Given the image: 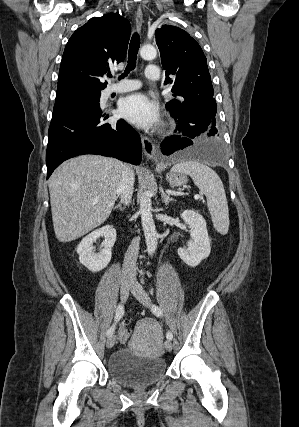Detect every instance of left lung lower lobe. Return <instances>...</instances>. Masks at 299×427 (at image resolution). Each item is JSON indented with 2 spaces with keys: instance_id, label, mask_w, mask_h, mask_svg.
Listing matches in <instances>:
<instances>
[{
  "instance_id": "0a47b994",
  "label": "left lung lower lobe",
  "mask_w": 299,
  "mask_h": 427,
  "mask_svg": "<svg viewBox=\"0 0 299 427\" xmlns=\"http://www.w3.org/2000/svg\"><path fill=\"white\" fill-rule=\"evenodd\" d=\"M171 115L177 121L176 129L184 137L171 136L164 140L161 144L164 155L178 153L183 157L200 158L209 162H225L221 132L214 126L209 106L181 105Z\"/></svg>"
}]
</instances>
